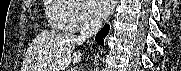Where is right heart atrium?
<instances>
[{
  "mask_svg": "<svg viewBox=\"0 0 181 71\" xmlns=\"http://www.w3.org/2000/svg\"><path fill=\"white\" fill-rule=\"evenodd\" d=\"M57 2L67 7L65 13L67 30L71 32L87 30L97 24L98 20L87 7L85 1L57 0Z\"/></svg>",
  "mask_w": 181,
  "mask_h": 71,
  "instance_id": "d8ad5b80",
  "label": "right heart atrium"
}]
</instances>
